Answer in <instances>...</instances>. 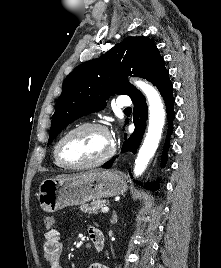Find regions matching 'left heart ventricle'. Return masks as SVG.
<instances>
[{"mask_svg": "<svg viewBox=\"0 0 221 268\" xmlns=\"http://www.w3.org/2000/svg\"><path fill=\"white\" fill-rule=\"evenodd\" d=\"M111 137L99 129L80 130L62 144V158L70 163H84L104 156L111 148Z\"/></svg>", "mask_w": 221, "mask_h": 268, "instance_id": "left-heart-ventricle-1", "label": "left heart ventricle"}]
</instances>
